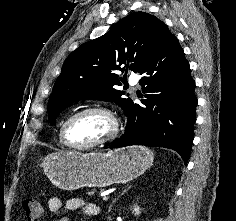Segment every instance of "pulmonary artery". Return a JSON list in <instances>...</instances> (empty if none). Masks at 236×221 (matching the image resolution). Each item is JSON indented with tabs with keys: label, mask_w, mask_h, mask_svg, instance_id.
<instances>
[{
	"label": "pulmonary artery",
	"mask_w": 236,
	"mask_h": 221,
	"mask_svg": "<svg viewBox=\"0 0 236 221\" xmlns=\"http://www.w3.org/2000/svg\"><path fill=\"white\" fill-rule=\"evenodd\" d=\"M129 82L131 85H137L139 83V76L138 75H131L129 77Z\"/></svg>",
	"instance_id": "obj_1"
}]
</instances>
